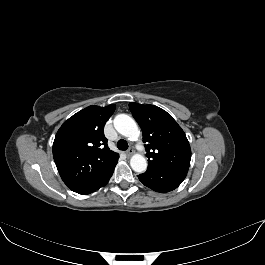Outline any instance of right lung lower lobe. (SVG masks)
Returning a JSON list of instances; mask_svg holds the SVG:
<instances>
[{
  "mask_svg": "<svg viewBox=\"0 0 265 265\" xmlns=\"http://www.w3.org/2000/svg\"><path fill=\"white\" fill-rule=\"evenodd\" d=\"M116 164H117V162L115 164H113L109 170L105 171L98 178L92 180L91 182L87 183L86 185L79 187L73 191L76 193H79V194L86 195V194H90V193L96 191L97 189L105 186L108 183L109 179L111 178Z\"/></svg>",
  "mask_w": 265,
  "mask_h": 265,
  "instance_id": "1",
  "label": "right lung lower lobe"
}]
</instances>
